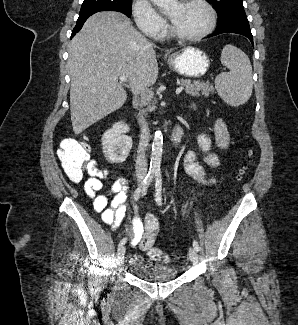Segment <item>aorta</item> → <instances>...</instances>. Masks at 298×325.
I'll return each mask as SVG.
<instances>
[{
    "instance_id": "1",
    "label": "aorta",
    "mask_w": 298,
    "mask_h": 325,
    "mask_svg": "<svg viewBox=\"0 0 298 325\" xmlns=\"http://www.w3.org/2000/svg\"><path fill=\"white\" fill-rule=\"evenodd\" d=\"M155 6L163 8V10H168V8H173L179 4V0H151ZM163 150V136L161 130H156L152 142L151 158L149 173H157L160 171L161 158Z\"/></svg>"
}]
</instances>
